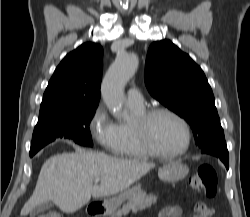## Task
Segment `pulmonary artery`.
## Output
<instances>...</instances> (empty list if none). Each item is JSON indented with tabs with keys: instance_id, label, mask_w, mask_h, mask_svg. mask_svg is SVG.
<instances>
[{
	"instance_id": "1",
	"label": "pulmonary artery",
	"mask_w": 250,
	"mask_h": 217,
	"mask_svg": "<svg viewBox=\"0 0 250 217\" xmlns=\"http://www.w3.org/2000/svg\"><path fill=\"white\" fill-rule=\"evenodd\" d=\"M127 103L132 107H143L144 97L137 87H130L127 91Z\"/></svg>"
}]
</instances>
